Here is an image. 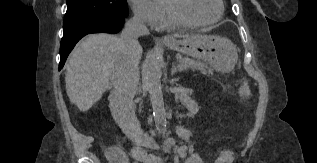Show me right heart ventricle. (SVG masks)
<instances>
[{
  "mask_svg": "<svg viewBox=\"0 0 317 163\" xmlns=\"http://www.w3.org/2000/svg\"><path fill=\"white\" fill-rule=\"evenodd\" d=\"M161 3V2H160ZM162 5V13H161V17H160V20L157 24V26L159 28H175V27H178V25H175L174 23H172L166 13H165V10H164V7H163V4L161 3Z\"/></svg>",
  "mask_w": 317,
  "mask_h": 163,
  "instance_id": "e07e8e85",
  "label": "right heart ventricle"
}]
</instances>
